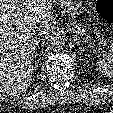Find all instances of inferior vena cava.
Segmentation results:
<instances>
[{
	"label": "inferior vena cava",
	"instance_id": "inferior-vena-cava-1",
	"mask_svg": "<svg viewBox=\"0 0 113 113\" xmlns=\"http://www.w3.org/2000/svg\"><path fill=\"white\" fill-rule=\"evenodd\" d=\"M43 32V29H37V35L41 34Z\"/></svg>",
	"mask_w": 113,
	"mask_h": 113
}]
</instances>
